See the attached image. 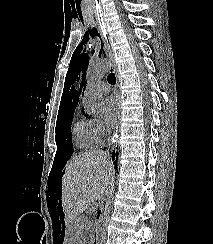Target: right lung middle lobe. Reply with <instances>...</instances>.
<instances>
[{
  "label": "right lung middle lobe",
  "instance_id": "dd1d6c3e",
  "mask_svg": "<svg viewBox=\"0 0 213 244\" xmlns=\"http://www.w3.org/2000/svg\"><path fill=\"white\" fill-rule=\"evenodd\" d=\"M74 110L60 115L57 119L56 126V145L57 152L54 158L53 167L49 178H54L63 169L68 159L73 154V145L71 139V123L73 120Z\"/></svg>",
  "mask_w": 213,
  "mask_h": 244
}]
</instances>
